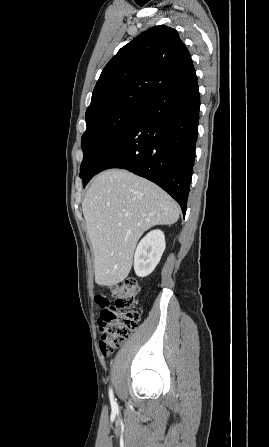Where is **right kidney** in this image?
Returning <instances> with one entry per match:
<instances>
[{"instance_id": "obj_1", "label": "right kidney", "mask_w": 269, "mask_h": 447, "mask_svg": "<svg viewBox=\"0 0 269 447\" xmlns=\"http://www.w3.org/2000/svg\"><path fill=\"white\" fill-rule=\"evenodd\" d=\"M166 247L165 235L161 229L148 231L139 241L134 255L136 275L145 277L155 269Z\"/></svg>"}]
</instances>
